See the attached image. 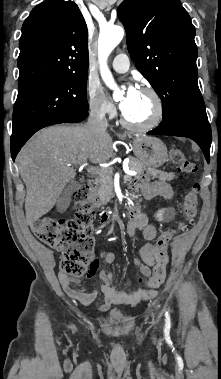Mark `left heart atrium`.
Returning a JSON list of instances; mask_svg holds the SVG:
<instances>
[{
    "label": "left heart atrium",
    "instance_id": "left-heart-atrium-1",
    "mask_svg": "<svg viewBox=\"0 0 221 379\" xmlns=\"http://www.w3.org/2000/svg\"><path fill=\"white\" fill-rule=\"evenodd\" d=\"M139 91L134 86H129L124 98L120 102V108L123 112L128 110L130 106L134 103L139 95Z\"/></svg>",
    "mask_w": 221,
    "mask_h": 379
}]
</instances>
